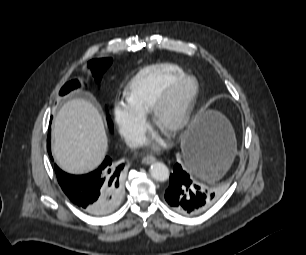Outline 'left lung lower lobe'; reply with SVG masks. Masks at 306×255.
Segmentation results:
<instances>
[{
  "label": "left lung lower lobe",
  "mask_w": 306,
  "mask_h": 255,
  "mask_svg": "<svg viewBox=\"0 0 306 255\" xmlns=\"http://www.w3.org/2000/svg\"><path fill=\"white\" fill-rule=\"evenodd\" d=\"M224 156L223 147H215L192 142L184 151L185 166L176 163L170 174V185L165 192V200L179 214L197 215L205 211L215 201V194L193 184L189 173L198 170L212 172Z\"/></svg>",
  "instance_id": "1"
}]
</instances>
